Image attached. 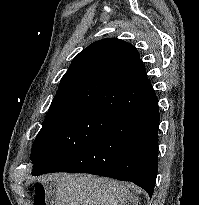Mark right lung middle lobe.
Listing matches in <instances>:
<instances>
[{"instance_id": "right-lung-middle-lobe-1", "label": "right lung middle lobe", "mask_w": 199, "mask_h": 205, "mask_svg": "<svg viewBox=\"0 0 199 205\" xmlns=\"http://www.w3.org/2000/svg\"><path fill=\"white\" fill-rule=\"evenodd\" d=\"M120 118L90 107L48 112L33 143L31 160L36 176L51 172L63 161L97 141Z\"/></svg>"}]
</instances>
